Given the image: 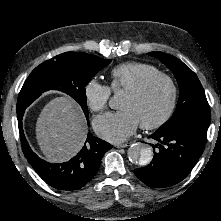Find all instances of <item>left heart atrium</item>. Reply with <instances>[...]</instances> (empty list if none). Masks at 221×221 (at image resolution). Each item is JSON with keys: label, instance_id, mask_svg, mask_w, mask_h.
I'll return each mask as SVG.
<instances>
[{"label": "left heart atrium", "instance_id": "1", "mask_svg": "<svg viewBox=\"0 0 221 221\" xmlns=\"http://www.w3.org/2000/svg\"><path fill=\"white\" fill-rule=\"evenodd\" d=\"M136 116L129 110L110 113L94 121L97 133L111 142H122L133 135L139 126Z\"/></svg>", "mask_w": 221, "mask_h": 221}]
</instances>
